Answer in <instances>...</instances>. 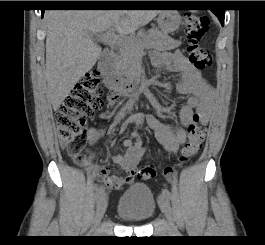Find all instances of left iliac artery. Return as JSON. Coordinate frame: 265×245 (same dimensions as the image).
Listing matches in <instances>:
<instances>
[{
    "instance_id": "left-iliac-artery-1",
    "label": "left iliac artery",
    "mask_w": 265,
    "mask_h": 245,
    "mask_svg": "<svg viewBox=\"0 0 265 245\" xmlns=\"http://www.w3.org/2000/svg\"><path fill=\"white\" fill-rule=\"evenodd\" d=\"M162 194L165 195L167 198H171V193L168 189H163Z\"/></svg>"
}]
</instances>
